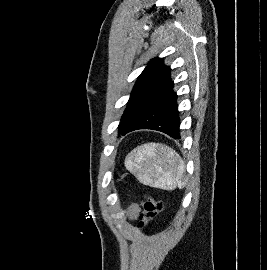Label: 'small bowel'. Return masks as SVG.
Wrapping results in <instances>:
<instances>
[{"label": "small bowel", "instance_id": "small-bowel-1", "mask_svg": "<svg viewBox=\"0 0 267 270\" xmlns=\"http://www.w3.org/2000/svg\"><path fill=\"white\" fill-rule=\"evenodd\" d=\"M140 211H141L140 205L138 204L131 205L128 210L129 219L131 220L136 219L139 216Z\"/></svg>", "mask_w": 267, "mask_h": 270}]
</instances>
